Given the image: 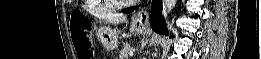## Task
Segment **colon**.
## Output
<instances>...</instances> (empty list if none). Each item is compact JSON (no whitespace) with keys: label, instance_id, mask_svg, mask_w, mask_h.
<instances>
[{"label":"colon","instance_id":"colon-1","mask_svg":"<svg viewBox=\"0 0 261 59\" xmlns=\"http://www.w3.org/2000/svg\"><path fill=\"white\" fill-rule=\"evenodd\" d=\"M71 37L78 59L93 58L92 42L90 32L85 22L77 16L70 21Z\"/></svg>","mask_w":261,"mask_h":59}]
</instances>
